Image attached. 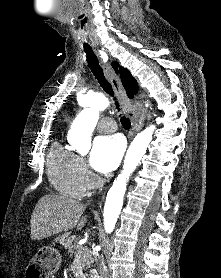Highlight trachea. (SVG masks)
Segmentation results:
<instances>
[{
    "label": "trachea",
    "instance_id": "obj_1",
    "mask_svg": "<svg viewBox=\"0 0 221 278\" xmlns=\"http://www.w3.org/2000/svg\"><path fill=\"white\" fill-rule=\"evenodd\" d=\"M84 51L86 53V61L89 65V68L91 69V72L93 73L95 78L98 80V82H99L100 86L103 88V90L113 98V100L115 101L116 109L119 112L120 111L119 103L114 96V92H113L111 84L106 80V78L104 76V72H103L101 66L99 65V61H98L94 51L92 50L91 47H84ZM120 121H121V124L124 127V129H126V130L130 129L131 123L127 117L120 114Z\"/></svg>",
    "mask_w": 221,
    "mask_h": 278
}]
</instances>
